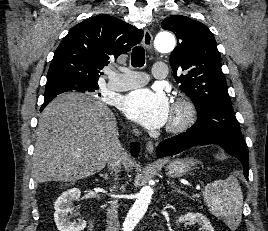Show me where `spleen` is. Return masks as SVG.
I'll return each mask as SVG.
<instances>
[{
  "mask_svg": "<svg viewBox=\"0 0 268 231\" xmlns=\"http://www.w3.org/2000/svg\"><path fill=\"white\" fill-rule=\"evenodd\" d=\"M204 202L209 211L221 218L228 227L236 229L242 219L243 195L238 180L230 175L205 186Z\"/></svg>",
  "mask_w": 268,
  "mask_h": 231,
  "instance_id": "1",
  "label": "spleen"
}]
</instances>
